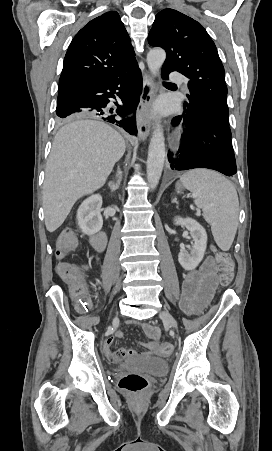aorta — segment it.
Masks as SVG:
<instances>
[{
  "instance_id": "762f6f07",
  "label": "aorta",
  "mask_w": 272,
  "mask_h": 451,
  "mask_svg": "<svg viewBox=\"0 0 272 451\" xmlns=\"http://www.w3.org/2000/svg\"><path fill=\"white\" fill-rule=\"evenodd\" d=\"M166 60L165 50L161 48H155L150 50L147 54V66L154 78L160 72V68ZM165 160V140L162 130V126H156L152 138L150 140V146L148 148V160H147V182L155 190L159 184L161 178L163 166Z\"/></svg>"
}]
</instances>
